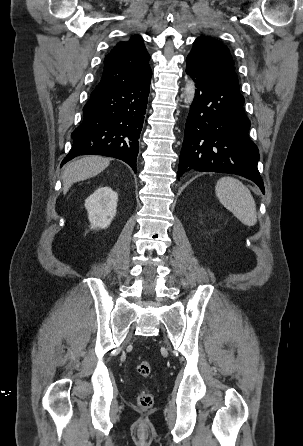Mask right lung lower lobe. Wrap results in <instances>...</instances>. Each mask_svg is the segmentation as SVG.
Listing matches in <instances>:
<instances>
[{
    "instance_id": "98d812e1",
    "label": "right lung lower lobe",
    "mask_w": 303,
    "mask_h": 446,
    "mask_svg": "<svg viewBox=\"0 0 303 446\" xmlns=\"http://www.w3.org/2000/svg\"><path fill=\"white\" fill-rule=\"evenodd\" d=\"M151 75L90 96L83 120L72 133L73 146L61 166L79 155H104L123 160L136 172Z\"/></svg>"
}]
</instances>
